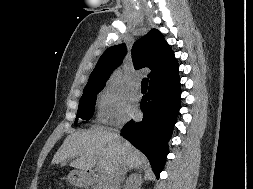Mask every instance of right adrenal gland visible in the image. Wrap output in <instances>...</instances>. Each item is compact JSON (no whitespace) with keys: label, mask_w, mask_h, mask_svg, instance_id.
<instances>
[{"label":"right adrenal gland","mask_w":253,"mask_h":189,"mask_svg":"<svg viewBox=\"0 0 253 189\" xmlns=\"http://www.w3.org/2000/svg\"><path fill=\"white\" fill-rule=\"evenodd\" d=\"M132 169H133V168H129L127 171L129 172V171H131ZM139 169H140V167H137V168H136V170H139ZM124 179H125V177H124ZM124 179H123V181H124ZM123 181H122V182H123Z\"/></svg>","instance_id":"obj_1"}]
</instances>
